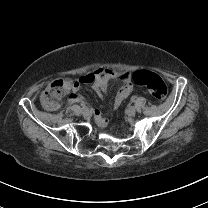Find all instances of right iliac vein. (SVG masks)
<instances>
[{"label": "right iliac vein", "instance_id": "63e3f726", "mask_svg": "<svg viewBox=\"0 0 208 208\" xmlns=\"http://www.w3.org/2000/svg\"><path fill=\"white\" fill-rule=\"evenodd\" d=\"M82 113H83L84 115L88 114V113H89V109H88V108H84V109L82 110Z\"/></svg>", "mask_w": 208, "mask_h": 208}]
</instances>
